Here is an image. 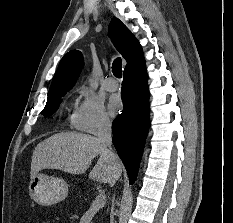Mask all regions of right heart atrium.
<instances>
[{
    "label": "right heart atrium",
    "mask_w": 233,
    "mask_h": 223,
    "mask_svg": "<svg viewBox=\"0 0 233 223\" xmlns=\"http://www.w3.org/2000/svg\"><path fill=\"white\" fill-rule=\"evenodd\" d=\"M81 94L83 98L74 112L73 126L91 134L111 129L112 122L103 103L83 91Z\"/></svg>",
    "instance_id": "d8ad5b80"
}]
</instances>
